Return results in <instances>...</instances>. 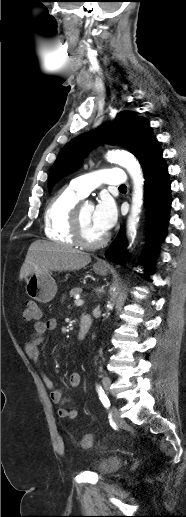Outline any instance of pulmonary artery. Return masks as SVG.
<instances>
[{"label":"pulmonary artery","mask_w":186,"mask_h":517,"mask_svg":"<svg viewBox=\"0 0 186 517\" xmlns=\"http://www.w3.org/2000/svg\"><path fill=\"white\" fill-rule=\"evenodd\" d=\"M126 182L124 170L105 168L73 179L70 186L83 197L101 184L123 185Z\"/></svg>","instance_id":"1"}]
</instances>
